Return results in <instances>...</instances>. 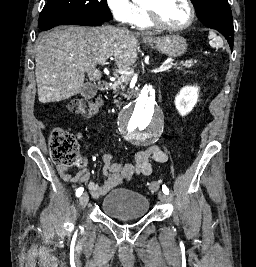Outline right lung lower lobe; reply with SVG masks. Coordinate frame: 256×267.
Listing matches in <instances>:
<instances>
[{"instance_id":"right-lung-lower-lobe-1","label":"right lung lower lobe","mask_w":256,"mask_h":267,"mask_svg":"<svg viewBox=\"0 0 256 267\" xmlns=\"http://www.w3.org/2000/svg\"><path fill=\"white\" fill-rule=\"evenodd\" d=\"M100 23H102V21H96V20H71V21H66L64 23H58L56 25H72V24H77V25H84V26H96V25H99ZM53 27L54 26H50L48 28L51 29Z\"/></svg>"}]
</instances>
